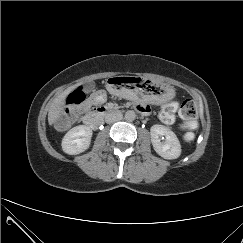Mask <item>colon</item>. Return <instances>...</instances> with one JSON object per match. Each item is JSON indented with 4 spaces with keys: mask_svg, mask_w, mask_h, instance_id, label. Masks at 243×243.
<instances>
[{
    "mask_svg": "<svg viewBox=\"0 0 243 243\" xmlns=\"http://www.w3.org/2000/svg\"><path fill=\"white\" fill-rule=\"evenodd\" d=\"M85 91L82 87L71 92L66 98V110L58 116L55 126L59 130L67 129L72 121L84 111ZM178 105L174 101H170L162 107L160 119L166 124L174 121V114ZM179 116L182 119V128L185 130L183 140L191 142L194 139L193 128L197 118V106L194 101L187 99L179 107Z\"/></svg>",
    "mask_w": 243,
    "mask_h": 243,
    "instance_id": "obj_1",
    "label": "colon"
}]
</instances>
